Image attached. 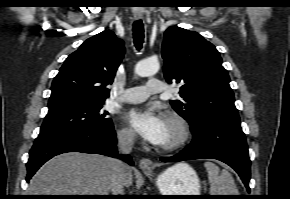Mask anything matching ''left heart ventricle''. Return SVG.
Listing matches in <instances>:
<instances>
[{
  "label": "left heart ventricle",
  "mask_w": 290,
  "mask_h": 199,
  "mask_svg": "<svg viewBox=\"0 0 290 199\" xmlns=\"http://www.w3.org/2000/svg\"><path fill=\"white\" fill-rule=\"evenodd\" d=\"M178 136V131L177 129L175 128V126L169 122L167 119H166V124H165V131H164V134H163V138L161 140V142L159 143V145H166V144H169L171 142H173Z\"/></svg>",
  "instance_id": "1"
}]
</instances>
